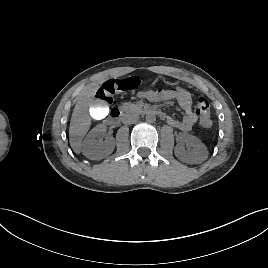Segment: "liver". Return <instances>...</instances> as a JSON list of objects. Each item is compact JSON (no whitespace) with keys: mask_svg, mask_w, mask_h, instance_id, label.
Wrapping results in <instances>:
<instances>
[{"mask_svg":"<svg viewBox=\"0 0 268 268\" xmlns=\"http://www.w3.org/2000/svg\"><path fill=\"white\" fill-rule=\"evenodd\" d=\"M97 85L88 86L77 99L70 120L69 137L70 145L77 154L81 151V140L88 132L91 125L89 108L95 107L94 96Z\"/></svg>","mask_w":268,"mask_h":268,"instance_id":"6515ba94","label":"liver"}]
</instances>
